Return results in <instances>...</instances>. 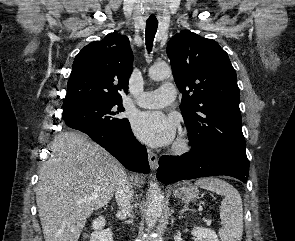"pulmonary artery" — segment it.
I'll list each match as a JSON object with an SVG mask.
<instances>
[{
  "mask_svg": "<svg viewBox=\"0 0 295 241\" xmlns=\"http://www.w3.org/2000/svg\"><path fill=\"white\" fill-rule=\"evenodd\" d=\"M177 95L176 88L171 83L162 84L157 90L143 92L136 104L143 108H161L172 103Z\"/></svg>",
  "mask_w": 295,
  "mask_h": 241,
  "instance_id": "e3ab8cb5",
  "label": "pulmonary artery"
}]
</instances>
